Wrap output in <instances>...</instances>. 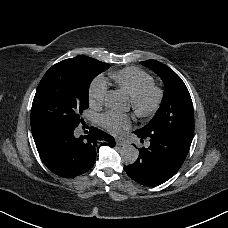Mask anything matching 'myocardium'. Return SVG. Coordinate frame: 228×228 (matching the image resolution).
<instances>
[{
    "instance_id": "myocardium-1",
    "label": "myocardium",
    "mask_w": 228,
    "mask_h": 228,
    "mask_svg": "<svg viewBox=\"0 0 228 228\" xmlns=\"http://www.w3.org/2000/svg\"><path fill=\"white\" fill-rule=\"evenodd\" d=\"M162 92L156 87H149L131 97V111L138 117L149 118L160 109Z\"/></svg>"
}]
</instances>
